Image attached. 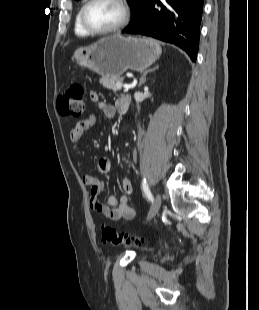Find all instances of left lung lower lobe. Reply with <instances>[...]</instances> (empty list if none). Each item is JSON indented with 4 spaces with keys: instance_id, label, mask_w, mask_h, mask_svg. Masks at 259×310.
<instances>
[{
    "instance_id": "1",
    "label": "left lung lower lobe",
    "mask_w": 259,
    "mask_h": 310,
    "mask_svg": "<svg viewBox=\"0 0 259 310\" xmlns=\"http://www.w3.org/2000/svg\"><path fill=\"white\" fill-rule=\"evenodd\" d=\"M204 0H147L123 33L173 43L196 61Z\"/></svg>"
}]
</instances>
